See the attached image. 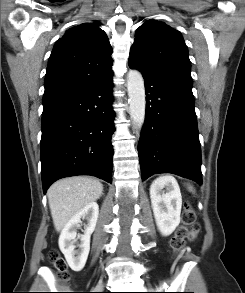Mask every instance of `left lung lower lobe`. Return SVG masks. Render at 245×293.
Listing matches in <instances>:
<instances>
[{
	"mask_svg": "<svg viewBox=\"0 0 245 293\" xmlns=\"http://www.w3.org/2000/svg\"><path fill=\"white\" fill-rule=\"evenodd\" d=\"M145 80L146 115L138 144L142 179L172 173L202 184L192 88L129 59Z\"/></svg>",
	"mask_w": 245,
	"mask_h": 293,
	"instance_id": "obj_1",
	"label": "left lung lower lobe"
}]
</instances>
